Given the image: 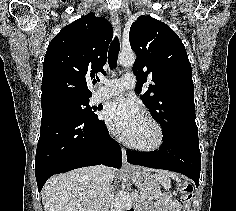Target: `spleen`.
I'll use <instances>...</instances> for the list:
<instances>
[{
    "label": "spleen",
    "instance_id": "3e777b00",
    "mask_svg": "<svg viewBox=\"0 0 236 211\" xmlns=\"http://www.w3.org/2000/svg\"><path fill=\"white\" fill-rule=\"evenodd\" d=\"M173 174L166 171H159L154 175L156 181H158L166 190L171 188V178Z\"/></svg>",
    "mask_w": 236,
    "mask_h": 211
}]
</instances>
